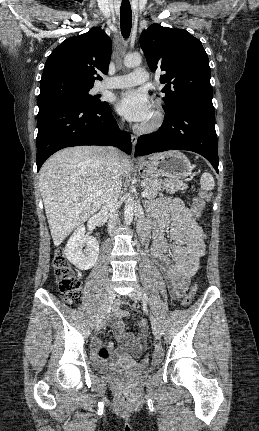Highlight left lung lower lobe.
Segmentation results:
<instances>
[{
	"label": "left lung lower lobe",
	"instance_id": "1",
	"mask_svg": "<svg viewBox=\"0 0 259 431\" xmlns=\"http://www.w3.org/2000/svg\"><path fill=\"white\" fill-rule=\"evenodd\" d=\"M171 149L188 150L202 155L218 173L214 109L186 104L165 112L164 122L156 133L138 138L135 155Z\"/></svg>",
	"mask_w": 259,
	"mask_h": 431
}]
</instances>
